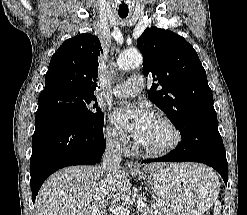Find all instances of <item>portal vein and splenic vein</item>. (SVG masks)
<instances>
[{
  "label": "portal vein and splenic vein",
  "mask_w": 247,
  "mask_h": 215,
  "mask_svg": "<svg viewBox=\"0 0 247 215\" xmlns=\"http://www.w3.org/2000/svg\"><path fill=\"white\" fill-rule=\"evenodd\" d=\"M137 205L139 207L144 206L145 204L137 202ZM110 210L115 214V215H128V210L122 206L118 207H111ZM96 212V211H95Z\"/></svg>",
  "instance_id": "portal-vein-and-splenic-vein-1"
}]
</instances>
